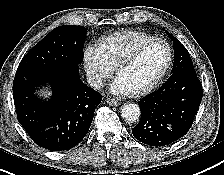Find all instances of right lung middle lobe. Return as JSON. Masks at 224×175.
<instances>
[{
	"instance_id": "right-lung-middle-lobe-1",
	"label": "right lung middle lobe",
	"mask_w": 224,
	"mask_h": 175,
	"mask_svg": "<svg viewBox=\"0 0 224 175\" xmlns=\"http://www.w3.org/2000/svg\"><path fill=\"white\" fill-rule=\"evenodd\" d=\"M83 26L56 27L22 58L18 69H61L78 66L83 60V44L87 38Z\"/></svg>"
}]
</instances>
